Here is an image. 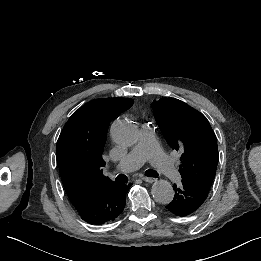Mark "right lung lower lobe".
I'll return each instance as SVG.
<instances>
[{
	"label": "right lung lower lobe",
	"mask_w": 261,
	"mask_h": 261,
	"mask_svg": "<svg viewBox=\"0 0 261 261\" xmlns=\"http://www.w3.org/2000/svg\"><path fill=\"white\" fill-rule=\"evenodd\" d=\"M130 184L112 182L95 190L76 208L87 223L100 225L115 220L126 204V193Z\"/></svg>",
	"instance_id": "1"
}]
</instances>
